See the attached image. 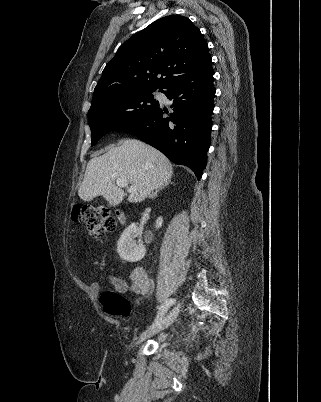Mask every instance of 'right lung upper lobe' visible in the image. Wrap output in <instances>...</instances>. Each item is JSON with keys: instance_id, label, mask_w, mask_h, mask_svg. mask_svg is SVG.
<instances>
[{"instance_id": "obj_1", "label": "right lung upper lobe", "mask_w": 321, "mask_h": 402, "mask_svg": "<svg viewBox=\"0 0 321 402\" xmlns=\"http://www.w3.org/2000/svg\"><path fill=\"white\" fill-rule=\"evenodd\" d=\"M210 64L199 28L187 17H163L120 46L102 72L91 106L128 93L163 89Z\"/></svg>"}]
</instances>
